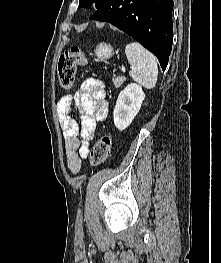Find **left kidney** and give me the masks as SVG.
<instances>
[{"mask_svg":"<svg viewBox=\"0 0 221 263\" xmlns=\"http://www.w3.org/2000/svg\"><path fill=\"white\" fill-rule=\"evenodd\" d=\"M145 99L140 85L131 83L119 94L113 111L114 124L117 129H126L134 120Z\"/></svg>","mask_w":221,"mask_h":263,"instance_id":"1","label":"left kidney"}]
</instances>
